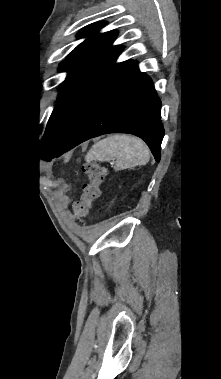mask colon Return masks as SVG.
Wrapping results in <instances>:
<instances>
[{
    "mask_svg": "<svg viewBox=\"0 0 221 379\" xmlns=\"http://www.w3.org/2000/svg\"><path fill=\"white\" fill-rule=\"evenodd\" d=\"M83 172L87 175L88 182L83 185L81 198L74 205V214L79 220L86 217L95 201L100 197V187L105 180V170L96 163H85Z\"/></svg>",
    "mask_w": 221,
    "mask_h": 379,
    "instance_id": "obj_1",
    "label": "colon"
}]
</instances>
